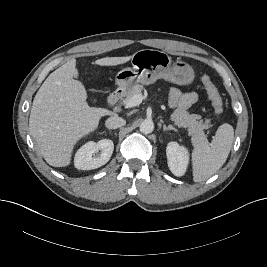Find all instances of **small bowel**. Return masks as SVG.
Listing matches in <instances>:
<instances>
[{
  "label": "small bowel",
  "mask_w": 267,
  "mask_h": 267,
  "mask_svg": "<svg viewBox=\"0 0 267 267\" xmlns=\"http://www.w3.org/2000/svg\"><path fill=\"white\" fill-rule=\"evenodd\" d=\"M196 92L183 93L178 88H172L170 91V103L172 107L179 109H188L198 100Z\"/></svg>",
  "instance_id": "small-bowel-1"
}]
</instances>
